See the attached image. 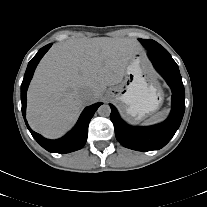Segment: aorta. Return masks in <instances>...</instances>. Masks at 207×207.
<instances>
[{
  "label": "aorta",
  "mask_w": 207,
  "mask_h": 207,
  "mask_svg": "<svg viewBox=\"0 0 207 207\" xmlns=\"http://www.w3.org/2000/svg\"><path fill=\"white\" fill-rule=\"evenodd\" d=\"M97 112L102 117H108L111 114V108L109 105L103 104L98 108Z\"/></svg>",
  "instance_id": "obj_1"
}]
</instances>
